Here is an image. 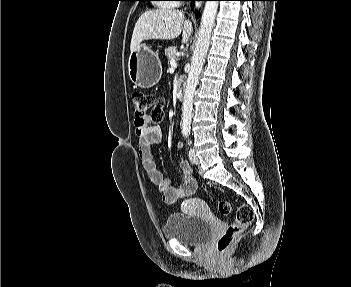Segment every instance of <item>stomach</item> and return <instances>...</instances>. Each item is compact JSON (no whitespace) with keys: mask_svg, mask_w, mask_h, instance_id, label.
<instances>
[{"mask_svg":"<svg viewBox=\"0 0 351 287\" xmlns=\"http://www.w3.org/2000/svg\"><path fill=\"white\" fill-rule=\"evenodd\" d=\"M130 80L141 88L153 87L161 78L162 65L156 53L140 44L128 60Z\"/></svg>","mask_w":351,"mask_h":287,"instance_id":"obj_1","label":"stomach"}]
</instances>
